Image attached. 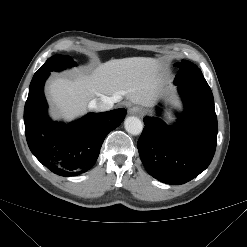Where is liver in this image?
I'll use <instances>...</instances> for the list:
<instances>
[{
    "instance_id": "6515ba94",
    "label": "liver",
    "mask_w": 247,
    "mask_h": 247,
    "mask_svg": "<svg viewBox=\"0 0 247 247\" xmlns=\"http://www.w3.org/2000/svg\"><path fill=\"white\" fill-rule=\"evenodd\" d=\"M158 60L145 57L113 59L90 73L56 77L48 84L54 115L65 121L84 114L90 101L102 96L125 97L129 102L153 106L162 93Z\"/></svg>"
}]
</instances>
